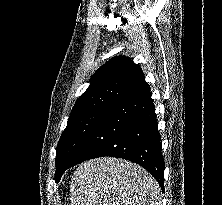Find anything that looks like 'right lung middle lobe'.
I'll return each mask as SVG.
<instances>
[{
    "label": "right lung middle lobe",
    "mask_w": 222,
    "mask_h": 205,
    "mask_svg": "<svg viewBox=\"0 0 222 205\" xmlns=\"http://www.w3.org/2000/svg\"><path fill=\"white\" fill-rule=\"evenodd\" d=\"M110 109H96L69 117L56 149L55 181L69 167L77 151Z\"/></svg>",
    "instance_id": "obj_1"
}]
</instances>
